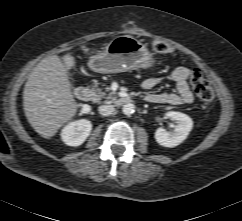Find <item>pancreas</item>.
<instances>
[{
	"label": "pancreas",
	"instance_id": "1",
	"mask_svg": "<svg viewBox=\"0 0 242 221\" xmlns=\"http://www.w3.org/2000/svg\"><path fill=\"white\" fill-rule=\"evenodd\" d=\"M94 87H96V85ZM109 90L110 88H106V91H109ZM93 91H94V98H93L94 102H100L103 98L107 100H112V101L115 100V98L112 97L115 94V92H110L109 96L106 97V93L103 92L102 89L100 88H93Z\"/></svg>",
	"mask_w": 242,
	"mask_h": 221
}]
</instances>
